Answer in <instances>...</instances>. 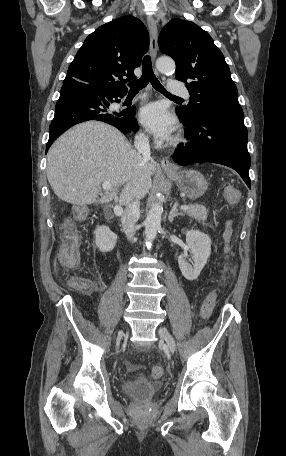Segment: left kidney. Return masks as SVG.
<instances>
[{"instance_id":"5707ae66","label":"left kidney","mask_w":286,"mask_h":456,"mask_svg":"<svg viewBox=\"0 0 286 456\" xmlns=\"http://www.w3.org/2000/svg\"><path fill=\"white\" fill-rule=\"evenodd\" d=\"M188 251L191 253L192 265L187 262ZM211 254V239L198 230L186 234L184 253L178 257L179 268L187 280H195L200 275Z\"/></svg>"}]
</instances>
